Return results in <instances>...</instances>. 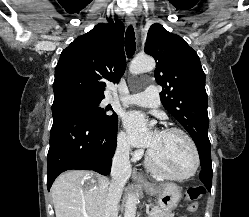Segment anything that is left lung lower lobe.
<instances>
[{
	"label": "left lung lower lobe",
	"instance_id": "obj_1",
	"mask_svg": "<svg viewBox=\"0 0 249 217\" xmlns=\"http://www.w3.org/2000/svg\"><path fill=\"white\" fill-rule=\"evenodd\" d=\"M212 164L211 166L208 167H202L201 172H200V179L204 183L205 187L207 188L208 191L211 190V185H212Z\"/></svg>",
	"mask_w": 249,
	"mask_h": 217
}]
</instances>
